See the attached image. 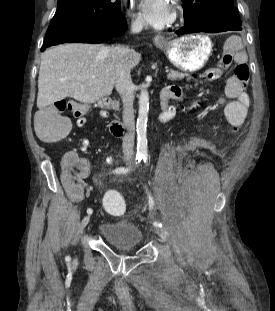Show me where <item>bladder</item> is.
Returning <instances> with one entry per match:
<instances>
[{"instance_id": "obj_1", "label": "bladder", "mask_w": 275, "mask_h": 311, "mask_svg": "<svg viewBox=\"0 0 275 311\" xmlns=\"http://www.w3.org/2000/svg\"><path fill=\"white\" fill-rule=\"evenodd\" d=\"M98 231L112 247L117 249L136 248L143 239L141 229L129 218L102 222Z\"/></svg>"}]
</instances>
